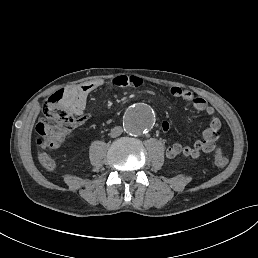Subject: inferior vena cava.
<instances>
[{
    "label": "inferior vena cava",
    "instance_id": "obj_1",
    "mask_svg": "<svg viewBox=\"0 0 258 258\" xmlns=\"http://www.w3.org/2000/svg\"><path fill=\"white\" fill-rule=\"evenodd\" d=\"M123 130H122V127L120 126H116L114 127L111 131H110V136L112 138H115V137H118L122 134Z\"/></svg>",
    "mask_w": 258,
    "mask_h": 258
}]
</instances>
